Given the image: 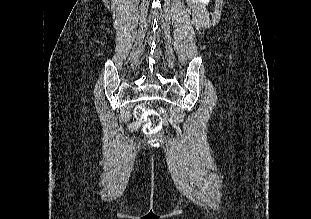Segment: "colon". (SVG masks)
I'll return each instance as SVG.
<instances>
[{
  "label": "colon",
  "instance_id": "5ec220e1",
  "mask_svg": "<svg viewBox=\"0 0 311 219\" xmlns=\"http://www.w3.org/2000/svg\"><path fill=\"white\" fill-rule=\"evenodd\" d=\"M136 117L144 122V131L148 134L159 132L163 126L160 113L154 109L139 106L136 109Z\"/></svg>",
  "mask_w": 311,
  "mask_h": 219
}]
</instances>
